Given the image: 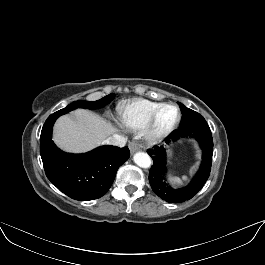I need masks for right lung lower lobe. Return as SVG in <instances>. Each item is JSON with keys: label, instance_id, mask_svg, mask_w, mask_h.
Instances as JSON below:
<instances>
[{"label": "right lung lower lobe", "instance_id": "1", "mask_svg": "<svg viewBox=\"0 0 265 265\" xmlns=\"http://www.w3.org/2000/svg\"><path fill=\"white\" fill-rule=\"evenodd\" d=\"M60 114L53 113L43 125L40 154L48 179L75 200L102 197L111 187L118 168L130 156L128 147L105 145L84 154L65 153L52 141V128Z\"/></svg>", "mask_w": 265, "mask_h": 265}]
</instances>
